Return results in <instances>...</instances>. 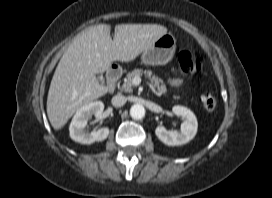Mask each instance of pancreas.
<instances>
[{
  "instance_id": "obj_1",
  "label": "pancreas",
  "mask_w": 272,
  "mask_h": 198,
  "mask_svg": "<svg viewBox=\"0 0 272 198\" xmlns=\"http://www.w3.org/2000/svg\"><path fill=\"white\" fill-rule=\"evenodd\" d=\"M142 75H145V77L151 81L152 86L157 90V94H165L167 92V88L162 79L158 78L155 74H153L151 70L143 71V69H134L133 71L129 72L126 79L124 80L122 89L125 92H132L133 79L135 77H141Z\"/></svg>"
}]
</instances>
